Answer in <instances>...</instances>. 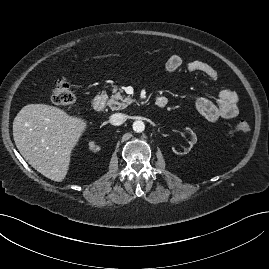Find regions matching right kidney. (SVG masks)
<instances>
[{
    "label": "right kidney",
    "instance_id": "ca27d5eb",
    "mask_svg": "<svg viewBox=\"0 0 269 269\" xmlns=\"http://www.w3.org/2000/svg\"><path fill=\"white\" fill-rule=\"evenodd\" d=\"M95 141H96V138L95 137H92L91 138V142L89 143V147L93 151H99L100 150V147L97 146V145H95V143H94Z\"/></svg>",
    "mask_w": 269,
    "mask_h": 269
}]
</instances>
